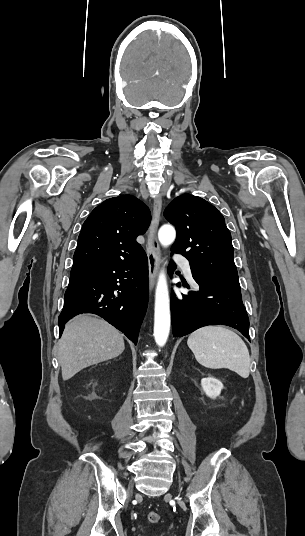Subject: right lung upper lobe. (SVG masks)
Returning <instances> with one entry per match:
<instances>
[{
	"mask_svg": "<svg viewBox=\"0 0 305 536\" xmlns=\"http://www.w3.org/2000/svg\"><path fill=\"white\" fill-rule=\"evenodd\" d=\"M151 221L147 206L121 195L96 207L82 226L70 274L89 271L144 253L136 241Z\"/></svg>",
	"mask_w": 305,
	"mask_h": 536,
	"instance_id": "obj_1",
	"label": "right lung upper lobe"
}]
</instances>
